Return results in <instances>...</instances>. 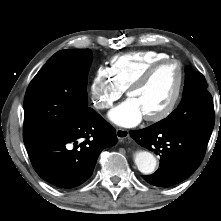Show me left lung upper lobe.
<instances>
[{"mask_svg":"<svg viewBox=\"0 0 221 221\" xmlns=\"http://www.w3.org/2000/svg\"><path fill=\"white\" fill-rule=\"evenodd\" d=\"M155 126L164 131L212 132L214 127L213 99L207 91V82L201 73L187 67L181 103L167 118L157 122Z\"/></svg>","mask_w":221,"mask_h":221,"instance_id":"left-lung-upper-lobe-1","label":"left lung upper lobe"}]
</instances>
